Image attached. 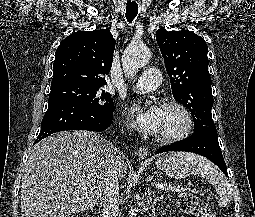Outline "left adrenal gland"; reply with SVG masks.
I'll list each match as a JSON object with an SVG mask.
<instances>
[{
  "mask_svg": "<svg viewBox=\"0 0 255 217\" xmlns=\"http://www.w3.org/2000/svg\"><path fill=\"white\" fill-rule=\"evenodd\" d=\"M159 199H160L159 196H154V199H152L151 190H150V188H148V200H147L146 206H147V209L148 208L152 209L151 216L155 215V205H156L157 201H159Z\"/></svg>",
  "mask_w": 255,
  "mask_h": 217,
  "instance_id": "a2214340",
  "label": "left adrenal gland"
}]
</instances>
